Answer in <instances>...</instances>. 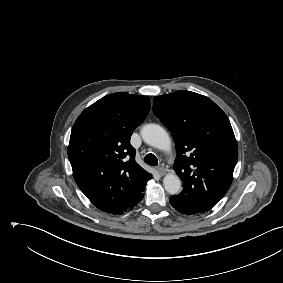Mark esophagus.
Returning <instances> with one entry per match:
<instances>
[{"label": "esophagus", "mask_w": 283, "mask_h": 283, "mask_svg": "<svg viewBox=\"0 0 283 283\" xmlns=\"http://www.w3.org/2000/svg\"><path fill=\"white\" fill-rule=\"evenodd\" d=\"M157 171H158L159 175H161V176L165 175V173H166V169L163 168V167H158Z\"/></svg>", "instance_id": "esophagus-1"}]
</instances>
